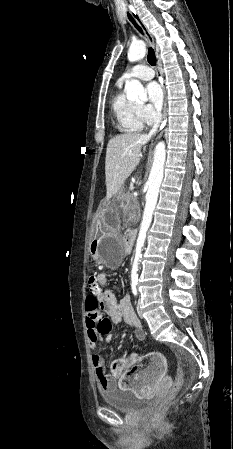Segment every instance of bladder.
I'll list each match as a JSON object with an SVG mask.
<instances>
[{
  "mask_svg": "<svg viewBox=\"0 0 233 449\" xmlns=\"http://www.w3.org/2000/svg\"><path fill=\"white\" fill-rule=\"evenodd\" d=\"M104 402L115 410L135 413L150 408L152 400L138 399L130 389H108L102 391Z\"/></svg>",
  "mask_w": 233,
  "mask_h": 449,
  "instance_id": "1",
  "label": "bladder"
}]
</instances>
